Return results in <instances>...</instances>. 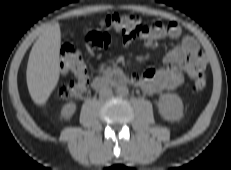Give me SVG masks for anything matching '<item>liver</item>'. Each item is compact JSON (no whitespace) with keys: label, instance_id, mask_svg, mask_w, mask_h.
Segmentation results:
<instances>
[{"label":"liver","instance_id":"obj_1","mask_svg":"<svg viewBox=\"0 0 231 170\" xmlns=\"http://www.w3.org/2000/svg\"><path fill=\"white\" fill-rule=\"evenodd\" d=\"M61 31L59 23L48 26L34 43L27 64L26 80L32 100L43 105L60 75Z\"/></svg>","mask_w":231,"mask_h":170}]
</instances>
